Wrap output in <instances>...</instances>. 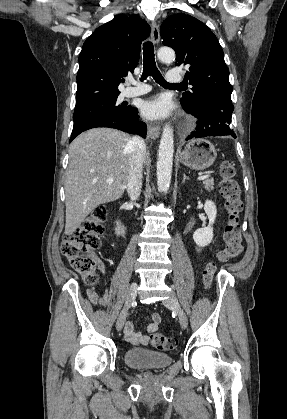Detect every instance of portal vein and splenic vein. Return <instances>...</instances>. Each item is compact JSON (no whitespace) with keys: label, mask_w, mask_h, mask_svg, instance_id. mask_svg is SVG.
<instances>
[{"label":"portal vein and splenic vein","mask_w":287,"mask_h":419,"mask_svg":"<svg viewBox=\"0 0 287 419\" xmlns=\"http://www.w3.org/2000/svg\"><path fill=\"white\" fill-rule=\"evenodd\" d=\"M209 177V175L208 174H206V175H201V176H199L198 177V180H205V179H207ZM107 182H113V178H108L107 179Z\"/></svg>","instance_id":"1"}]
</instances>
